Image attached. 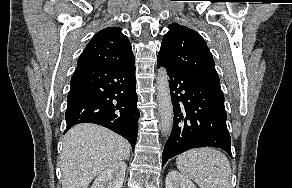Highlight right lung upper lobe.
<instances>
[{
	"instance_id": "right-lung-upper-lobe-1",
	"label": "right lung upper lobe",
	"mask_w": 292,
	"mask_h": 188,
	"mask_svg": "<svg viewBox=\"0 0 292 188\" xmlns=\"http://www.w3.org/2000/svg\"><path fill=\"white\" fill-rule=\"evenodd\" d=\"M134 61L131 44L118 27H108L93 36L77 65H125Z\"/></svg>"
}]
</instances>
